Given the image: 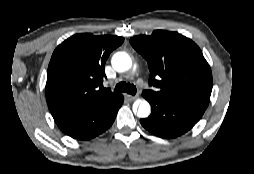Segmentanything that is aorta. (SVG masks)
Segmentation results:
<instances>
[{
  "label": "aorta",
  "instance_id": "1",
  "mask_svg": "<svg viewBox=\"0 0 254 174\" xmlns=\"http://www.w3.org/2000/svg\"><path fill=\"white\" fill-rule=\"evenodd\" d=\"M113 68L117 72H125L128 71L132 66V60L127 53L117 52L113 55L111 60ZM151 112L150 104L147 101H142L139 104L137 116L139 118H146L149 116Z\"/></svg>",
  "mask_w": 254,
  "mask_h": 174
}]
</instances>
